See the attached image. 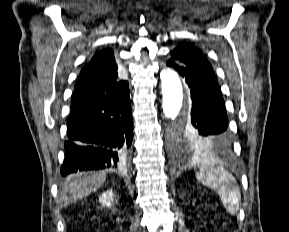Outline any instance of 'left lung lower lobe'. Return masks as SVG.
<instances>
[{
  "instance_id": "left-lung-lower-lobe-1",
  "label": "left lung lower lobe",
  "mask_w": 289,
  "mask_h": 232,
  "mask_svg": "<svg viewBox=\"0 0 289 232\" xmlns=\"http://www.w3.org/2000/svg\"><path fill=\"white\" fill-rule=\"evenodd\" d=\"M167 66L177 70L190 88L192 109L188 122L192 129L212 142L213 151L228 152L232 138L228 130L225 103L216 78L204 71L181 65L173 58L168 60Z\"/></svg>"
}]
</instances>
